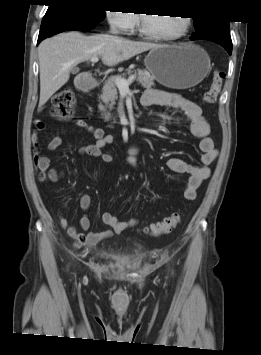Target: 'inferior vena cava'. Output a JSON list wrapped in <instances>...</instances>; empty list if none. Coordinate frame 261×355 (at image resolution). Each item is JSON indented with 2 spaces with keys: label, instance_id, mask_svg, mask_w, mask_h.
Here are the masks:
<instances>
[{
  "label": "inferior vena cava",
  "instance_id": "1",
  "mask_svg": "<svg viewBox=\"0 0 261 355\" xmlns=\"http://www.w3.org/2000/svg\"><path fill=\"white\" fill-rule=\"evenodd\" d=\"M111 33L117 34L118 32L116 31V29L114 27H111Z\"/></svg>",
  "mask_w": 261,
  "mask_h": 355
}]
</instances>
